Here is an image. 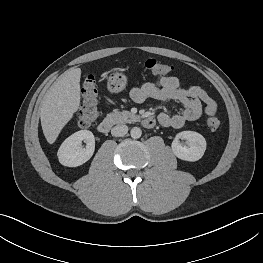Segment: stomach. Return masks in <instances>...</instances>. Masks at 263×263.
<instances>
[{
  "label": "stomach",
  "mask_w": 263,
  "mask_h": 263,
  "mask_svg": "<svg viewBox=\"0 0 263 263\" xmlns=\"http://www.w3.org/2000/svg\"><path fill=\"white\" fill-rule=\"evenodd\" d=\"M126 85L127 77L121 72H116L108 78V89L112 93L123 91Z\"/></svg>",
  "instance_id": "1"
}]
</instances>
